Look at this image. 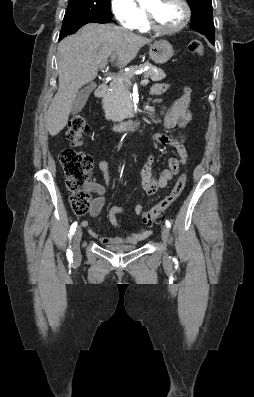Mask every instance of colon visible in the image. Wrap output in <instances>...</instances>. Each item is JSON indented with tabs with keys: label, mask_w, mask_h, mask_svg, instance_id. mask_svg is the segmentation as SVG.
<instances>
[{
	"label": "colon",
	"mask_w": 254,
	"mask_h": 397,
	"mask_svg": "<svg viewBox=\"0 0 254 397\" xmlns=\"http://www.w3.org/2000/svg\"><path fill=\"white\" fill-rule=\"evenodd\" d=\"M189 51L201 56L204 51L203 43L193 40L189 43ZM88 130V123L83 115L75 116L68 125L67 139L75 146L81 144V138ZM60 163L64 170L65 182L70 190V204L76 215H83L89 211L92 199L84 189L85 184L91 177L93 168L92 158L72 148L63 150L60 154ZM186 183V174L180 175L171 192L158 204L143 215V220L151 224L159 220L163 212L171 206L181 195Z\"/></svg>",
	"instance_id": "colon-1"
}]
</instances>
